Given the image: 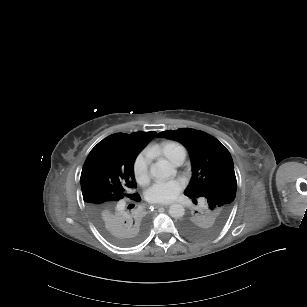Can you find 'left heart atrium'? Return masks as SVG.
I'll list each match as a JSON object with an SVG mask.
<instances>
[{"label": "left heart atrium", "mask_w": 307, "mask_h": 307, "mask_svg": "<svg viewBox=\"0 0 307 307\" xmlns=\"http://www.w3.org/2000/svg\"><path fill=\"white\" fill-rule=\"evenodd\" d=\"M179 191L180 186L176 181H158L147 188L145 195L151 203L165 204L171 202Z\"/></svg>", "instance_id": "obj_1"}]
</instances>
